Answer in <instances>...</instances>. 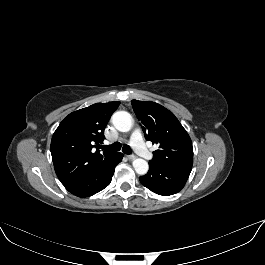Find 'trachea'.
<instances>
[{"label":"trachea","mask_w":265,"mask_h":265,"mask_svg":"<svg viewBox=\"0 0 265 265\" xmlns=\"http://www.w3.org/2000/svg\"><path fill=\"white\" fill-rule=\"evenodd\" d=\"M121 146H122L121 143L117 142V143H114V144L109 145V146L102 145V146H100V149L105 150V151H109V152H116V151H119L121 149ZM122 151H123V153L128 154V155H130L132 153L131 148L128 145H124L122 147Z\"/></svg>","instance_id":"obj_1"}]
</instances>
